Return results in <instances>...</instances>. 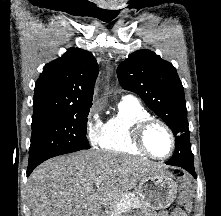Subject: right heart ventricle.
<instances>
[{
    "label": "right heart ventricle",
    "instance_id": "right-heart-ventricle-1",
    "mask_svg": "<svg viewBox=\"0 0 221 216\" xmlns=\"http://www.w3.org/2000/svg\"><path fill=\"white\" fill-rule=\"evenodd\" d=\"M151 117V113L138 100L123 98L116 113L103 124L100 148L113 153L144 156L134 144L133 133L139 123Z\"/></svg>",
    "mask_w": 221,
    "mask_h": 216
}]
</instances>
